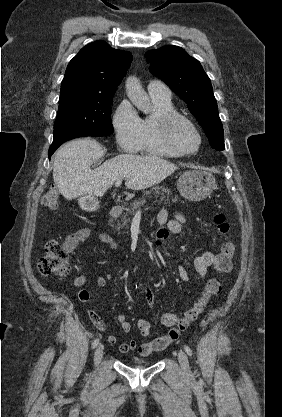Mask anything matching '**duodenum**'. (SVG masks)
I'll list each match as a JSON object with an SVG mask.
<instances>
[{
    "label": "duodenum",
    "mask_w": 282,
    "mask_h": 417,
    "mask_svg": "<svg viewBox=\"0 0 282 417\" xmlns=\"http://www.w3.org/2000/svg\"><path fill=\"white\" fill-rule=\"evenodd\" d=\"M122 208L120 205H115L113 207H111L110 211H109V216L112 218H115L117 216H119L121 214Z\"/></svg>",
    "instance_id": "1"
}]
</instances>
